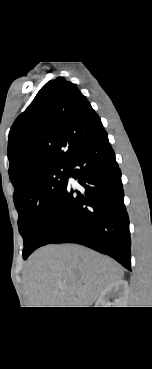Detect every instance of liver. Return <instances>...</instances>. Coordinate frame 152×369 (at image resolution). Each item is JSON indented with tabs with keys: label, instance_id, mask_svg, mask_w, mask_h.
<instances>
[{
	"label": "liver",
	"instance_id": "1",
	"mask_svg": "<svg viewBox=\"0 0 152 369\" xmlns=\"http://www.w3.org/2000/svg\"><path fill=\"white\" fill-rule=\"evenodd\" d=\"M112 259L85 247L48 245L35 251L23 274L28 307H91L123 278Z\"/></svg>",
	"mask_w": 152,
	"mask_h": 369
}]
</instances>
